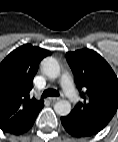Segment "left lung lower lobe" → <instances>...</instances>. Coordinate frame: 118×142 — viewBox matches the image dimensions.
<instances>
[{
    "instance_id": "0a47b994",
    "label": "left lung lower lobe",
    "mask_w": 118,
    "mask_h": 142,
    "mask_svg": "<svg viewBox=\"0 0 118 142\" xmlns=\"http://www.w3.org/2000/svg\"><path fill=\"white\" fill-rule=\"evenodd\" d=\"M61 122L65 130L72 136L87 137L96 134L71 115L61 117Z\"/></svg>"
}]
</instances>
